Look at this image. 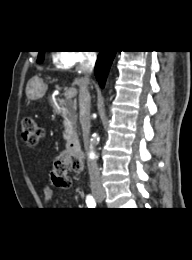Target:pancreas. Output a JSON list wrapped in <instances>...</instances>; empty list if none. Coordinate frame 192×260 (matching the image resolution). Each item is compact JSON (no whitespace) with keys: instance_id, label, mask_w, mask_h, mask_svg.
I'll return each mask as SVG.
<instances>
[{"instance_id":"cf45deb5","label":"pancreas","mask_w":192,"mask_h":260,"mask_svg":"<svg viewBox=\"0 0 192 260\" xmlns=\"http://www.w3.org/2000/svg\"><path fill=\"white\" fill-rule=\"evenodd\" d=\"M59 102H60V104L67 107V100H60ZM62 117L64 118V121H63V125L65 128L64 136H65V138H67V132H68L69 125H72V126L77 125V115L73 109L65 108L63 111Z\"/></svg>"}]
</instances>
